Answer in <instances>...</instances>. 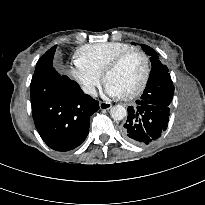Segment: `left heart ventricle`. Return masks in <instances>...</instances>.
<instances>
[{
  "label": "left heart ventricle",
  "instance_id": "left-heart-ventricle-1",
  "mask_svg": "<svg viewBox=\"0 0 205 205\" xmlns=\"http://www.w3.org/2000/svg\"><path fill=\"white\" fill-rule=\"evenodd\" d=\"M143 71L144 62L142 57L137 53H132L106 77L105 83L113 87L120 96L125 95L137 87Z\"/></svg>",
  "mask_w": 205,
  "mask_h": 205
}]
</instances>
